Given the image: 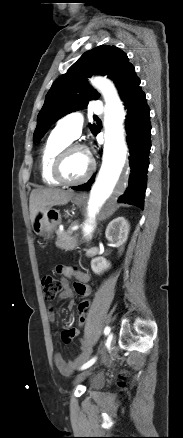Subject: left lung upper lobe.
<instances>
[{"label": "left lung upper lobe", "mask_w": 183, "mask_h": 438, "mask_svg": "<svg viewBox=\"0 0 183 438\" xmlns=\"http://www.w3.org/2000/svg\"><path fill=\"white\" fill-rule=\"evenodd\" d=\"M93 74L108 75L119 91L123 93L128 84L137 77L125 52L116 46L101 45L85 52L67 71L60 76L48 91L44 105L38 114L33 142L41 138L61 117L84 108L88 101L98 99L99 94L87 83ZM95 134L96 125H89Z\"/></svg>", "instance_id": "obj_1"}]
</instances>
